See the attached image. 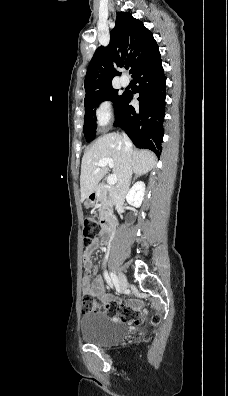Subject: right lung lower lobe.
Listing matches in <instances>:
<instances>
[{"label": "right lung lower lobe", "mask_w": 228, "mask_h": 396, "mask_svg": "<svg viewBox=\"0 0 228 396\" xmlns=\"http://www.w3.org/2000/svg\"><path fill=\"white\" fill-rule=\"evenodd\" d=\"M132 77L139 83L135 91L139 93V106L132 107L129 103L133 93L125 92L116 110L114 126L125 130L136 147L150 149L159 157L164 135L162 123L165 116L166 78L158 46Z\"/></svg>", "instance_id": "1"}]
</instances>
